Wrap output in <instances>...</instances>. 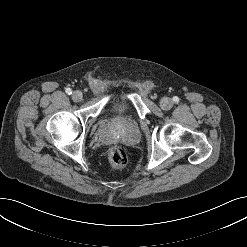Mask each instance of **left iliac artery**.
Wrapping results in <instances>:
<instances>
[{
    "label": "left iliac artery",
    "mask_w": 247,
    "mask_h": 247,
    "mask_svg": "<svg viewBox=\"0 0 247 247\" xmlns=\"http://www.w3.org/2000/svg\"><path fill=\"white\" fill-rule=\"evenodd\" d=\"M173 101L178 103L179 102V98L175 96V97H173Z\"/></svg>",
    "instance_id": "44dca946"
}]
</instances>
